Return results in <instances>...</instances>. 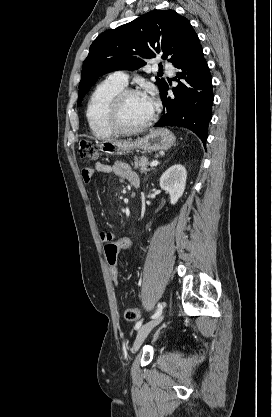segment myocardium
<instances>
[{
    "instance_id": "1",
    "label": "myocardium",
    "mask_w": 272,
    "mask_h": 417,
    "mask_svg": "<svg viewBox=\"0 0 272 417\" xmlns=\"http://www.w3.org/2000/svg\"><path fill=\"white\" fill-rule=\"evenodd\" d=\"M135 95H142L141 91L132 88H124L117 93L111 100L107 111V123L109 127L118 134H135L148 128L155 120L156 113L153 112L151 117L143 124L136 127H126L120 121L121 109L124 101Z\"/></svg>"
}]
</instances>
